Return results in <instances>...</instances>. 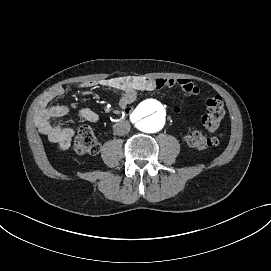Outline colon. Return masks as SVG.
I'll use <instances>...</instances> for the list:
<instances>
[{"label": "colon", "mask_w": 271, "mask_h": 271, "mask_svg": "<svg viewBox=\"0 0 271 271\" xmlns=\"http://www.w3.org/2000/svg\"><path fill=\"white\" fill-rule=\"evenodd\" d=\"M225 108L219 95H210L206 98V112L202 123L209 132H215L224 116ZM186 143L195 149L203 150L219 143V135H206L200 131H192L186 135ZM74 150L78 154H96L99 151V141L95 132L88 126H80L76 129L73 143Z\"/></svg>", "instance_id": "1"}]
</instances>
